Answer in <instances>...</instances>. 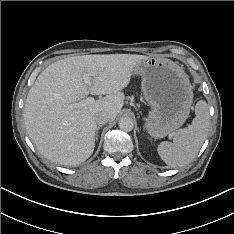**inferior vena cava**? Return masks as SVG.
Instances as JSON below:
<instances>
[{"label": "inferior vena cava", "mask_w": 234, "mask_h": 234, "mask_svg": "<svg viewBox=\"0 0 234 234\" xmlns=\"http://www.w3.org/2000/svg\"><path fill=\"white\" fill-rule=\"evenodd\" d=\"M111 119V116L106 111L97 112L95 115V122L99 125L106 124Z\"/></svg>", "instance_id": "1"}]
</instances>
